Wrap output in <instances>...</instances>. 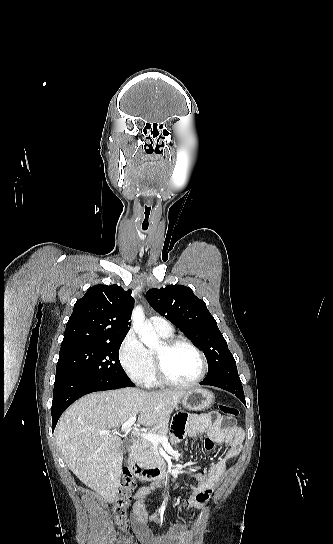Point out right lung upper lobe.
I'll return each mask as SVG.
<instances>
[{"mask_svg":"<svg viewBox=\"0 0 333 544\" xmlns=\"http://www.w3.org/2000/svg\"><path fill=\"white\" fill-rule=\"evenodd\" d=\"M133 307L131 290L116 284L89 288L74 305L61 348L125 337Z\"/></svg>","mask_w":333,"mask_h":544,"instance_id":"right-lung-upper-lobe-1","label":"right lung upper lobe"}]
</instances>
